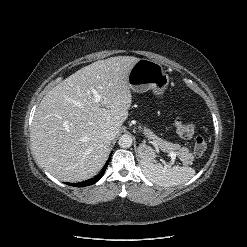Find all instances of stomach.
Here are the masks:
<instances>
[{
  "label": "stomach",
  "instance_id": "0dacf381",
  "mask_svg": "<svg viewBox=\"0 0 247 247\" xmlns=\"http://www.w3.org/2000/svg\"><path fill=\"white\" fill-rule=\"evenodd\" d=\"M129 87L137 93L153 90L157 96H162L169 84V76L162 65L149 59H139L132 67L128 76ZM139 155L143 160L155 161L156 155L148 146L139 147Z\"/></svg>",
  "mask_w": 247,
  "mask_h": 247
}]
</instances>
